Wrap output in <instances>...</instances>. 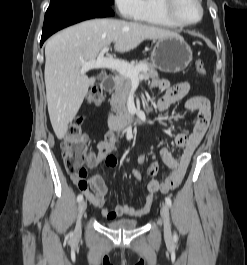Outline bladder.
I'll list each match as a JSON object with an SVG mask.
<instances>
[{
    "label": "bladder",
    "instance_id": "bladder-1",
    "mask_svg": "<svg viewBox=\"0 0 247 265\" xmlns=\"http://www.w3.org/2000/svg\"><path fill=\"white\" fill-rule=\"evenodd\" d=\"M138 226L139 221L135 219H119L106 223V227L112 230H132Z\"/></svg>",
    "mask_w": 247,
    "mask_h": 265
}]
</instances>
